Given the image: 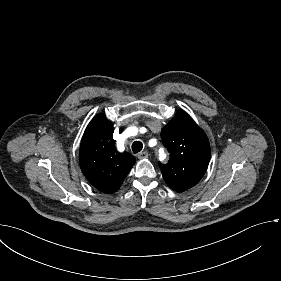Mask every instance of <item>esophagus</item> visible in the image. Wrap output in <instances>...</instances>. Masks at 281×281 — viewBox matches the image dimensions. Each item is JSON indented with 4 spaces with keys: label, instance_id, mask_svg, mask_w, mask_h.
Listing matches in <instances>:
<instances>
[{
    "label": "esophagus",
    "instance_id": "34e87169",
    "mask_svg": "<svg viewBox=\"0 0 281 281\" xmlns=\"http://www.w3.org/2000/svg\"><path fill=\"white\" fill-rule=\"evenodd\" d=\"M149 156L148 152L144 151V152H141L139 155H138V158L139 159H147Z\"/></svg>",
    "mask_w": 281,
    "mask_h": 281
}]
</instances>
